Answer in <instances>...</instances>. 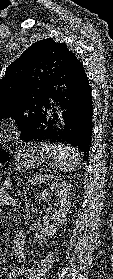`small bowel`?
Wrapping results in <instances>:
<instances>
[{"label":"small bowel","mask_w":113,"mask_h":279,"mask_svg":"<svg viewBox=\"0 0 113 279\" xmlns=\"http://www.w3.org/2000/svg\"><path fill=\"white\" fill-rule=\"evenodd\" d=\"M17 202L12 197H9L2 187L0 188V206L1 205H15ZM26 236L21 232H16L13 237V247L19 260L25 261L27 259L26 255ZM25 267L18 266L10 269L6 274V279H18L25 272Z\"/></svg>","instance_id":"c3829d8e"}]
</instances>
